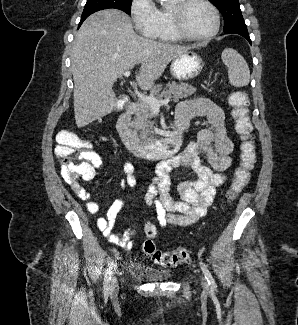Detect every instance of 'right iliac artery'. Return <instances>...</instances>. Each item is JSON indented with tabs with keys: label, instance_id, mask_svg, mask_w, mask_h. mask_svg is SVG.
<instances>
[{
	"label": "right iliac artery",
	"instance_id": "82829eb1",
	"mask_svg": "<svg viewBox=\"0 0 298 325\" xmlns=\"http://www.w3.org/2000/svg\"><path fill=\"white\" fill-rule=\"evenodd\" d=\"M114 263L112 262L109 266V268L107 269V272L105 274V277H104V291L107 292L109 290V283H110V280H111V276H112V273H113V267H114Z\"/></svg>",
	"mask_w": 298,
	"mask_h": 325
}]
</instances>
